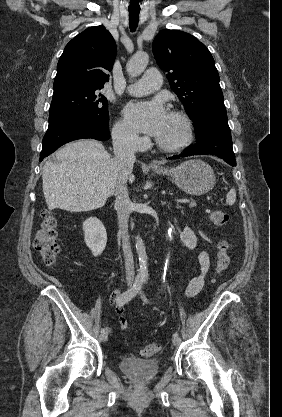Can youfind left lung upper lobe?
<instances>
[{
  "mask_svg": "<svg viewBox=\"0 0 282 417\" xmlns=\"http://www.w3.org/2000/svg\"><path fill=\"white\" fill-rule=\"evenodd\" d=\"M152 49L194 125L205 112L225 109L219 74L203 43L188 33L166 29L158 33Z\"/></svg>",
  "mask_w": 282,
  "mask_h": 417,
  "instance_id": "left-lung-upper-lobe-1",
  "label": "left lung upper lobe"
}]
</instances>
